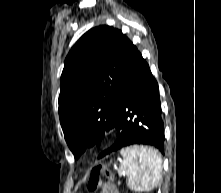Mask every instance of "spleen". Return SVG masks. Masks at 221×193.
I'll return each mask as SVG.
<instances>
[{"instance_id": "obj_1", "label": "spleen", "mask_w": 221, "mask_h": 193, "mask_svg": "<svg viewBox=\"0 0 221 193\" xmlns=\"http://www.w3.org/2000/svg\"><path fill=\"white\" fill-rule=\"evenodd\" d=\"M120 172L127 176V185L137 192L153 190L160 182L162 159L158 151L145 146H124Z\"/></svg>"}]
</instances>
